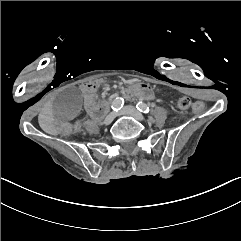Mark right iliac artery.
Segmentation results:
<instances>
[{"mask_svg":"<svg viewBox=\"0 0 241 241\" xmlns=\"http://www.w3.org/2000/svg\"><path fill=\"white\" fill-rule=\"evenodd\" d=\"M123 105H124V99L121 98V97H117V98L113 101L111 108H112L114 111L117 112L118 110H120V109L123 107Z\"/></svg>","mask_w":241,"mask_h":241,"instance_id":"obj_1","label":"right iliac artery"}]
</instances>
